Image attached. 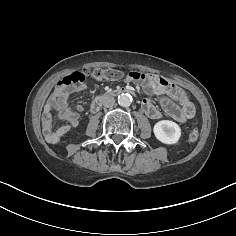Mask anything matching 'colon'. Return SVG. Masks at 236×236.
<instances>
[{
	"label": "colon",
	"mask_w": 236,
	"mask_h": 236,
	"mask_svg": "<svg viewBox=\"0 0 236 236\" xmlns=\"http://www.w3.org/2000/svg\"><path fill=\"white\" fill-rule=\"evenodd\" d=\"M128 75L135 81L142 80L144 78V74L141 72L133 71L132 73H128ZM86 76H90L95 79H106V80H118L122 78L123 72L118 69L114 68H107V69H94L92 71L86 72H73L71 73L67 79L65 80L66 84H79L85 81ZM199 132L196 128H194L190 134L189 139L190 141L194 142L198 139Z\"/></svg>",
	"instance_id": "obj_1"
}]
</instances>
